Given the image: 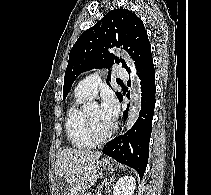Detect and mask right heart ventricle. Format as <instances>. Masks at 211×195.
I'll use <instances>...</instances> for the list:
<instances>
[{"instance_id": "1", "label": "right heart ventricle", "mask_w": 211, "mask_h": 195, "mask_svg": "<svg viewBox=\"0 0 211 195\" xmlns=\"http://www.w3.org/2000/svg\"><path fill=\"white\" fill-rule=\"evenodd\" d=\"M86 99L87 97L75 92L74 100L70 104L65 118L67 137L71 144L79 149H88L94 146V143L87 135L84 122V111L81 108V104Z\"/></svg>"}]
</instances>
